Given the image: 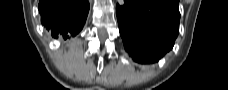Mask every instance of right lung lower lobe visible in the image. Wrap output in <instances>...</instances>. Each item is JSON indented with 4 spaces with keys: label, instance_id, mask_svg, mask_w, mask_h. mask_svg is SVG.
Listing matches in <instances>:
<instances>
[{
    "label": "right lung lower lobe",
    "instance_id": "1",
    "mask_svg": "<svg viewBox=\"0 0 228 90\" xmlns=\"http://www.w3.org/2000/svg\"><path fill=\"white\" fill-rule=\"evenodd\" d=\"M88 0H40L41 23L55 38L75 36L83 28L89 11Z\"/></svg>",
    "mask_w": 228,
    "mask_h": 90
}]
</instances>
